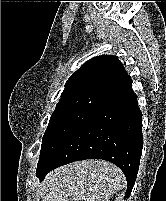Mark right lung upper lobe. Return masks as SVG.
<instances>
[{
    "label": "right lung upper lobe",
    "mask_w": 166,
    "mask_h": 201,
    "mask_svg": "<svg viewBox=\"0 0 166 201\" xmlns=\"http://www.w3.org/2000/svg\"><path fill=\"white\" fill-rule=\"evenodd\" d=\"M126 77L127 73L116 56H97L68 79L60 102L86 96L106 97Z\"/></svg>",
    "instance_id": "obj_1"
}]
</instances>
